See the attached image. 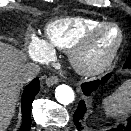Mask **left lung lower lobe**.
Masks as SVG:
<instances>
[{"instance_id":"obj_1","label":"left lung lower lobe","mask_w":131,"mask_h":131,"mask_svg":"<svg viewBox=\"0 0 131 131\" xmlns=\"http://www.w3.org/2000/svg\"><path fill=\"white\" fill-rule=\"evenodd\" d=\"M124 67L131 68V66H124ZM110 77L111 74H108L102 78L101 82L97 80L88 83H83L81 87L84 94L85 95L91 94L94 90H96L99 87L100 84H104L105 82H107V80H109ZM86 111H87V106L85 102L81 100L78 103V107L73 116V121L78 131H88L89 129L88 125L84 121V116L86 114ZM107 131H131V117H129L125 123H121Z\"/></svg>"}]
</instances>
